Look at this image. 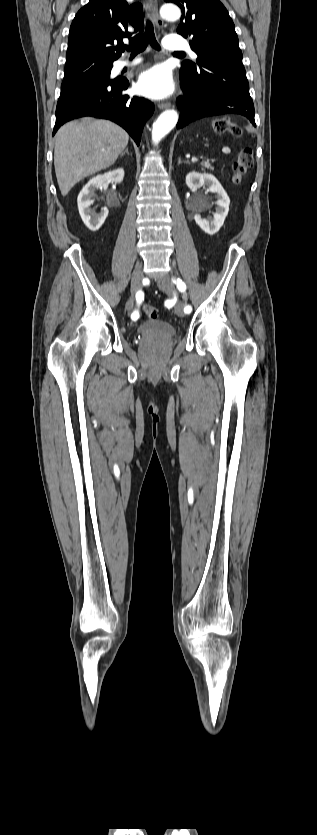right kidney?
I'll use <instances>...</instances> for the list:
<instances>
[{
	"instance_id": "obj_1",
	"label": "right kidney",
	"mask_w": 317,
	"mask_h": 835,
	"mask_svg": "<svg viewBox=\"0 0 317 835\" xmlns=\"http://www.w3.org/2000/svg\"><path fill=\"white\" fill-rule=\"evenodd\" d=\"M123 178L124 170L123 168H119L103 175L93 177L80 191L77 198L79 214L84 224L91 231H97L102 226L109 212L106 207L102 209V212L99 215L91 210L90 206L93 204V200L91 198L94 195L95 190L105 186L109 182L121 183Z\"/></svg>"
}]
</instances>
